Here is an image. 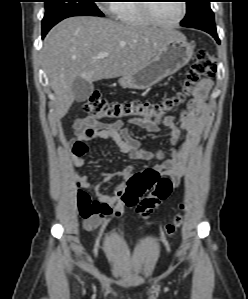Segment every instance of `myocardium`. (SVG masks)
I'll use <instances>...</instances> for the list:
<instances>
[{
  "label": "myocardium",
  "instance_id": "1",
  "mask_svg": "<svg viewBox=\"0 0 248 299\" xmlns=\"http://www.w3.org/2000/svg\"><path fill=\"white\" fill-rule=\"evenodd\" d=\"M146 2H152V1H146ZM180 4H181V14L178 17V19H176L173 22H164L157 17L153 12L154 3H144L141 6L144 14L153 24L163 26V27H175L184 20L187 14L186 2L184 0H180Z\"/></svg>",
  "mask_w": 248,
  "mask_h": 299
}]
</instances>
